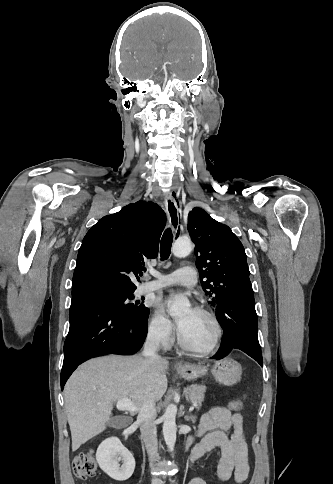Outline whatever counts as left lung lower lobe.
<instances>
[{"label":"left lung lower lobe","instance_id":"0a47b994","mask_svg":"<svg viewBox=\"0 0 333 484\" xmlns=\"http://www.w3.org/2000/svg\"><path fill=\"white\" fill-rule=\"evenodd\" d=\"M216 316L224 336L221 347L212 358L219 360L233 349H240L263 366L254 293L249 279L234 283L224 291L216 306Z\"/></svg>","mask_w":333,"mask_h":484}]
</instances>
